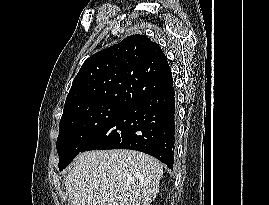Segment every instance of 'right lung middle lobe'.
<instances>
[{
	"mask_svg": "<svg viewBox=\"0 0 269 205\" xmlns=\"http://www.w3.org/2000/svg\"><path fill=\"white\" fill-rule=\"evenodd\" d=\"M127 106L115 102L97 103L62 117L57 138L59 170L66 168L87 143Z\"/></svg>",
	"mask_w": 269,
	"mask_h": 205,
	"instance_id": "right-lung-middle-lobe-1",
	"label": "right lung middle lobe"
}]
</instances>
